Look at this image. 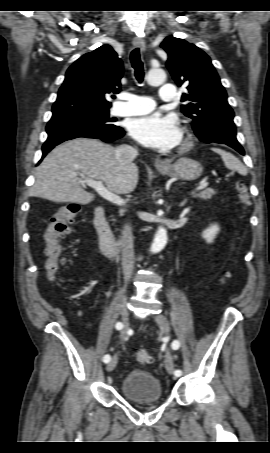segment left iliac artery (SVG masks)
<instances>
[{
	"label": "left iliac artery",
	"instance_id": "1",
	"mask_svg": "<svg viewBox=\"0 0 270 453\" xmlns=\"http://www.w3.org/2000/svg\"><path fill=\"white\" fill-rule=\"evenodd\" d=\"M171 346H172V349L177 350L180 346L179 341H177V340L173 341ZM174 374H175V376L179 377V376H181L182 371L177 369V370H175Z\"/></svg>",
	"mask_w": 270,
	"mask_h": 453
}]
</instances>
